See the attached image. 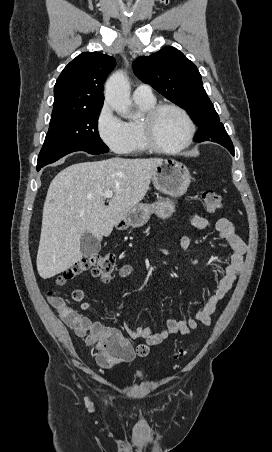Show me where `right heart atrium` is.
I'll list each match as a JSON object with an SVG mask.
<instances>
[{
  "mask_svg": "<svg viewBox=\"0 0 272 452\" xmlns=\"http://www.w3.org/2000/svg\"><path fill=\"white\" fill-rule=\"evenodd\" d=\"M95 127L100 140L116 153L124 152L128 132L125 122L114 115L111 107L104 103L97 114Z\"/></svg>",
  "mask_w": 272,
  "mask_h": 452,
  "instance_id": "obj_1",
  "label": "right heart atrium"
}]
</instances>
